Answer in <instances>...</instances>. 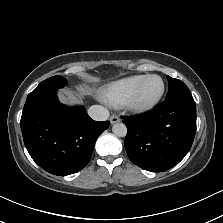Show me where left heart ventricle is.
Wrapping results in <instances>:
<instances>
[{"mask_svg": "<svg viewBox=\"0 0 223 223\" xmlns=\"http://www.w3.org/2000/svg\"><path fill=\"white\" fill-rule=\"evenodd\" d=\"M161 89V81L157 77H151L146 79L140 86L136 102L138 104H148L159 93Z\"/></svg>", "mask_w": 223, "mask_h": 223, "instance_id": "b2bd125f", "label": "left heart ventricle"}]
</instances>
